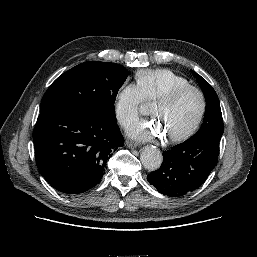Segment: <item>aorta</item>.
I'll return each mask as SVG.
<instances>
[{"instance_id": "aorta-1", "label": "aorta", "mask_w": 257, "mask_h": 257, "mask_svg": "<svg viewBox=\"0 0 257 257\" xmlns=\"http://www.w3.org/2000/svg\"><path fill=\"white\" fill-rule=\"evenodd\" d=\"M141 162L143 166L151 171L157 170L162 163V154L160 150L152 146H147L141 152Z\"/></svg>"}]
</instances>
